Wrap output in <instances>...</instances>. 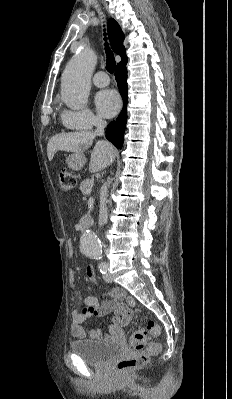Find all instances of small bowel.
Here are the masks:
<instances>
[{"instance_id": "small-bowel-1", "label": "small bowel", "mask_w": 232, "mask_h": 399, "mask_svg": "<svg viewBox=\"0 0 232 399\" xmlns=\"http://www.w3.org/2000/svg\"><path fill=\"white\" fill-rule=\"evenodd\" d=\"M70 255L73 256L76 252V246L73 241L68 242ZM91 279L96 282L97 274L94 272ZM69 285L71 289H76L77 280L74 273L69 275ZM110 294L114 297V302L98 301L92 290L87 291V296L83 301V309L79 313H74L72 322L69 326L70 334L77 337L80 345H99L105 340H109L118 332L124 325H126L132 318V310L130 306L123 305L119 299L126 298L127 302L133 306L135 299L132 295L124 294L120 289H112ZM75 294L71 295V300L75 299ZM113 313V322L109 327L108 332L87 331L82 325L83 321L92 315H106Z\"/></svg>"}]
</instances>
